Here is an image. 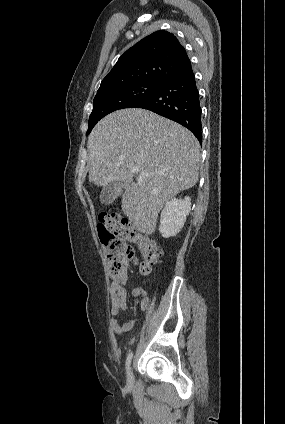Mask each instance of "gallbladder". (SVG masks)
I'll return each mask as SVG.
<instances>
[{"mask_svg":"<svg viewBox=\"0 0 285 424\" xmlns=\"http://www.w3.org/2000/svg\"><path fill=\"white\" fill-rule=\"evenodd\" d=\"M124 188L122 181L116 180L104 186L100 194V201L104 205L111 204Z\"/></svg>","mask_w":285,"mask_h":424,"instance_id":"1","label":"gallbladder"}]
</instances>
